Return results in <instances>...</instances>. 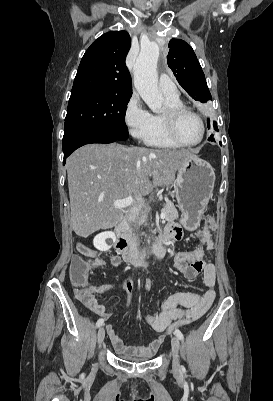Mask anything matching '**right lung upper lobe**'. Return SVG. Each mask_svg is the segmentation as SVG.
<instances>
[{
    "mask_svg": "<svg viewBox=\"0 0 273 401\" xmlns=\"http://www.w3.org/2000/svg\"><path fill=\"white\" fill-rule=\"evenodd\" d=\"M130 46L126 31L108 32L95 40L82 57L71 96L86 93L131 96V78L125 64Z\"/></svg>",
    "mask_w": 273,
    "mask_h": 401,
    "instance_id": "obj_1",
    "label": "right lung upper lobe"
}]
</instances>
